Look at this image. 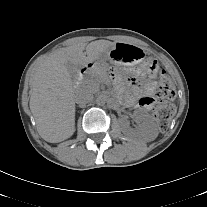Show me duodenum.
<instances>
[{
	"label": "duodenum",
	"instance_id": "410a0bca",
	"mask_svg": "<svg viewBox=\"0 0 207 207\" xmlns=\"http://www.w3.org/2000/svg\"><path fill=\"white\" fill-rule=\"evenodd\" d=\"M91 67V63H86L82 66L81 68V72H85L86 70H88Z\"/></svg>",
	"mask_w": 207,
	"mask_h": 207
}]
</instances>
